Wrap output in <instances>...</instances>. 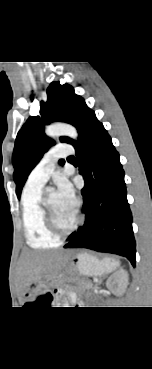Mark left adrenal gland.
<instances>
[{"label": "left adrenal gland", "instance_id": "obj_1", "mask_svg": "<svg viewBox=\"0 0 152 369\" xmlns=\"http://www.w3.org/2000/svg\"><path fill=\"white\" fill-rule=\"evenodd\" d=\"M103 279H104V278H101V279H100V281H99V283H98V284H96V285H95V287H98V286L102 283Z\"/></svg>", "mask_w": 152, "mask_h": 369}]
</instances>
